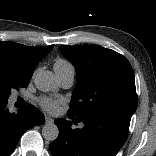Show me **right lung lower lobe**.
I'll list each match as a JSON object with an SVG mask.
<instances>
[{
  "label": "right lung lower lobe",
  "instance_id": "right-lung-lower-lobe-1",
  "mask_svg": "<svg viewBox=\"0 0 156 156\" xmlns=\"http://www.w3.org/2000/svg\"><path fill=\"white\" fill-rule=\"evenodd\" d=\"M8 99H0V156H9L21 135L30 127L44 123V115L28 105L17 114L7 109Z\"/></svg>",
  "mask_w": 156,
  "mask_h": 156
}]
</instances>
